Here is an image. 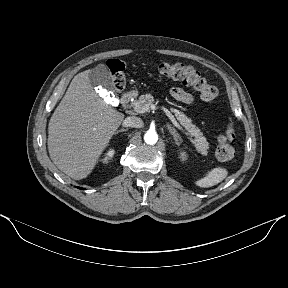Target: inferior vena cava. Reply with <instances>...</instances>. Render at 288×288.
I'll return each instance as SVG.
<instances>
[{
	"label": "inferior vena cava",
	"mask_w": 288,
	"mask_h": 288,
	"mask_svg": "<svg viewBox=\"0 0 288 288\" xmlns=\"http://www.w3.org/2000/svg\"><path fill=\"white\" fill-rule=\"evenodd\" d=\"M122 125L124 127L141 128L143 126V121L139 117L129 116L123 121Z\"/></svg>",
	"instance_id": "inferior-vena-cava-1"
}]
</instances>
